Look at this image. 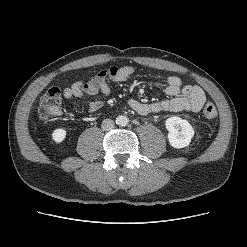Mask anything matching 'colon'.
Returning a JSON list of instances; mask_svg holds the SVG:
<instances>
[{
  "label": "colon",
  "mask_w": 247,
  "mask_h": 247,
  "mask_svg": "<svg viewBox=\"0 0 247 247\" xmlns=\"http://www.w3.org/2000/svg\"><path fill=\"white\" fill-rule=\"evenodd\" d=\"M61 91L59 88L53 87L50 88L40 99L38 107V116L42 120H49L60 114L61 110ZM217 115V109L215 105L211 102L205 104L202 109V116L211 120L214 119Z\"/></svg>",
  "instance_id": "1"
}]
</instances>
